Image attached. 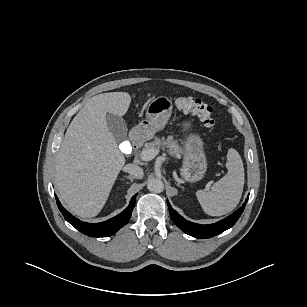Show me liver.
I'll list each match as a JSON object with an SVG mask.
<instances>
[{
    "label": "liver",
    "instance_id": "obj_1",
    "mask_svg": "<svg viewBox=\"0 0 307 307\" xmlns=\"http://www.w3.org/2000/svg\"><path fill=\"white\" fill-rule=\"evenodd\" d=\"M130 103L126 92L96 95L67 128L56 155L55 184L61 200L77 216L91 218L102 210L125 164L106 114L122 117Z\"/></svg>",
    "mask_w": 307,
    "mask_h": 307
}]
</instances>
